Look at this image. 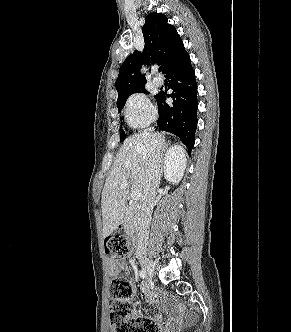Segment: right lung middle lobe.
Segmentation results:
<instances>
[{
    "instance_id": "1",
    "label": "right lung middle lobe",
    "mask_w": 291,
    "mask_h": 332,
    "mask_svg": "<svg viewBox=\"0 0 291 332\" xmlns=\"http://www.w3.org/2000/svg\"><path fill=\"white\" fill-rule=\"evenodd\" d=\"M136 92L148 93V92L145 90V88L142 87V88H139V89H137V90H134L133 92L127 94L125 97L119 99V100L117 101V107H118V111H119V112H120V111L122 110V108L124 107L127 98H128L131 94L136 93ZM120 136H121L120 141H123V140L125 139V134H124V131H123V130H121Z\"/></svg>"
}]
</instances>
